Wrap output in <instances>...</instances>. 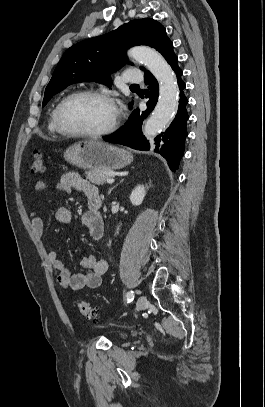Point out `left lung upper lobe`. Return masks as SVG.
Masks as SVG:
<instances>
[{"mask_svg": "<svg viewBox=\"0 0 265 407\" xmlns=\"http://www.w3.org/2000/svg\"><path fill=\"white\" fill-rule=\"evenodd\" d=\"M135 45L155 48L170 65L177 59L173 43L161 23L151 18L132 20L114 31L67 49L45 89L43 106L55 94L76 82L97 81L110 87L109 74L127 63L126 50Z\"/></svg>", "mask_w": 265, "mask_h": 407, "instance_id": "1", "label": "left lung upper lobe"}]
</instances>
